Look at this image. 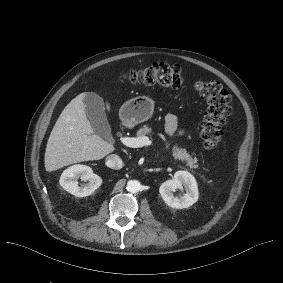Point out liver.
<instances>
[{"mask_svg": "<svg viewBox=\"0 0 283 283\" xmlns=\"http://www.w3.org/2000/svg\"><path fill=\"white\" fill-rule=\"evenodd\" d=\"M85 95L81 93L72 99L56 121L46 146V171L82 161L100 160L115 150L111 143L94 134L85 114Z\"/></svg>", "mask_w": 283, "mask_h": 283, "instance_id": "1", "label": "liver"}]
</instances>
